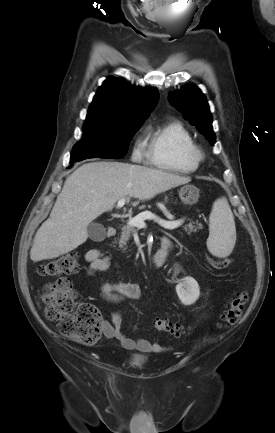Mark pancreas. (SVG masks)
Returning a JSON list of instances; mask_svg holds the SVG:
<instances>
[{
    "mask_svg": "<svg viewBox=\"0 0 275 433\" xmlns=\"http://www.w3.org/2000/svg\"><path fill=\"white\" fill-rule=\"evenodd\" d=\"M194 222H189L188 224H185L183 226V229L188 233H195L198 231V229L202 228L201 224H196ZM136 232V229L134 226H131L129 224L124 225L122 227L121 237L119 240V247L124 248L126 246L127 241L130 239L131 235H133Z\"/></svg>",
    "mask_w": 275,
    "mask_h": 433,
    "instance_id": "cf45deb5",
    "label": "pancreas"
}]
</instances>
